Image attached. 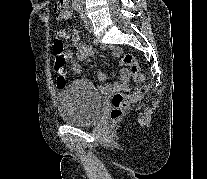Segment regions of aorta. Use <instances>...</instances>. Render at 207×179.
<instances>
[{
	"label": "aorta",
	"instance_id": "1",
	"mask_svg": "<svg viewBox=\"0 0 207 179\" xmlns=\"http://www.w3.org/2000/svg\"><path fill=\"white\" fill-rule=\"evenodd\" d=\"M73 4L81 5L83 4L84 0H72Z\"/></svg>",
	"mask_w": 207,
	"mask_h": 179
}]
</instances>
